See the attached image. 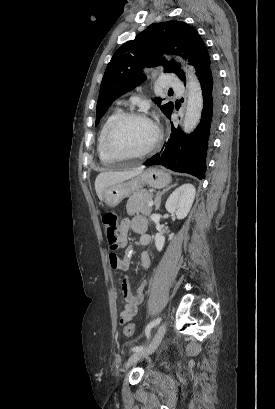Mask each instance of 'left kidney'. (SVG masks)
<instances>
[{
    "instance_id": "5707ae66",
    "label": "left kidney",
    "mask_w": 275,
    "mask_h": 409,
    "mask_svg": "<svg viewBox=\"0 0 275 409\" xmlns=\"http://www.w3.org/2000/svg\"><path fill=\"white\" fill-rule=\"evenodd\" d=\"M195 198V186L186 182V184H181L176 190H173L169 198L166 200V211L168 213H175L177 219H185L187 217ZM174 235H169V241L173 239ZM165 243V237L162 233H156L155 235V245L157 251H162Z\"/></svg>"
}]
</instances>
